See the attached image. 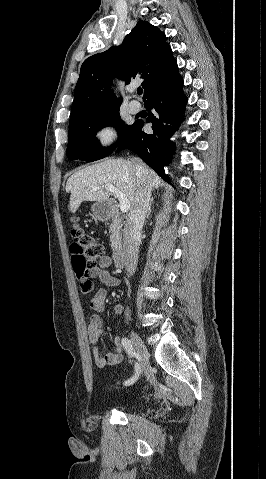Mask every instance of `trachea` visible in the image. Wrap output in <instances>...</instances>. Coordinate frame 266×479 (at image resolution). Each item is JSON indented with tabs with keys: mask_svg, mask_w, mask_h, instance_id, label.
I'll list each match as a JSON object with an SVG mask.
<instances>
[{
	"mask_svg": "<svg viewBox=\"0 0 266 479\" xmlns=\"http://www.w3.org/2000/svg\"><path fill=\"white\" fill-rule=\"evenodd\" d=\"M137 93H138L139 95H141V94L143 93V89H142V88H138V89H137Z\"/></svg>",
	"mask_w": 266,
	"mask_h": 479,
	"instance_id": "1",
	"label": "trachea"
}]
</instances>
